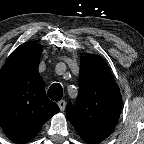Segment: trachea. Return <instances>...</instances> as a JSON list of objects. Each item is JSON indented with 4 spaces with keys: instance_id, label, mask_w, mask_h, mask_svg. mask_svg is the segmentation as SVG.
Segmentation results:
<instances>
[{
    "instance_id": "trachea-1",
    "label": "trachea",
    "mask_w": 144,
    "mask_h": 144,
    "mask_svg": "<svg viewBox=\"0 0 144 144\" xmlns=\"http://www.w3.org/2000/svg\"><path fill=\"white\" fill-rule=\"evenodd\" d=\"M47 94L53 101H60L63 96L62 86L59 83L52 84Z\"/></svg>"
}]
</instances>
